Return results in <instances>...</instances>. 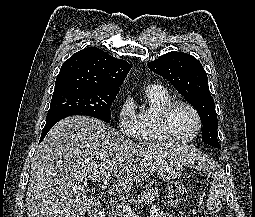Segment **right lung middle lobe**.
<instances>
[{
	"label": "right lung middle lobe",
	"mask_w": 255,
	"mask_h": 217,
	"mask_svg": "<svg viewBox=\"0 0 255 217\" xmlns=\"http://www.w3.org/2000/svg\"><path fill=\"white\" fill-rule=\"evenodd\" d=\"M116 95V91L97 90L82 86L55 88L47 119L57 114L67 113L91 116L110 122V107Z\"/></svg>",
	"instance_id": "dd1d6c3e"
}]
</instances>
